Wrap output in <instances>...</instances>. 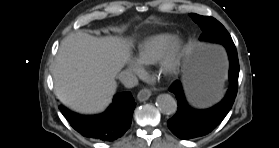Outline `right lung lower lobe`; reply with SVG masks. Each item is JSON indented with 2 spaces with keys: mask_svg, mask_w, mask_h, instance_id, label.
Returning <instances> with one entry per match:
<instances>
[{
  "mask_svg": "<svg viewBox=\"0 0 279 148\" xmlns=\"http://www.w3.org/2000/svg\"><path fill=\"white\" fill-rule=\"evenodd\" d=\"M130 92L116 94L111 106L103 113L94 116H80L61 108L70 125L83 136L101 141H113L129 129L135 109Z\"/></svg>",
  "mask_w": 279,
  "mask_h": 148,
  "instance_id": "right-lung-lower-lobe-1",
  "label": "right lung lower lobe"
}]
</instances>
